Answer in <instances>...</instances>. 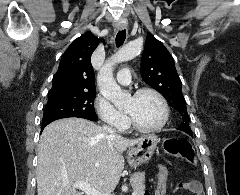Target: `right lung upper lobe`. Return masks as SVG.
I'll list each match as a JSON object with an SVG mask.
<instances>
[{"mask_svg":"<svg viewBox=\"0 0 240 195\" xmlns=\"http://www.w3.org/2000/svg\"><path fill=\"white\" fill-rule=\"evenodd\" d=\"M100 40L91 32L76 38L61 57L49 95L68 92H95L91 55Z\"/></svg>","mask_w":240,"mask_h":195,"instance_id":"cb5924a9","label":"right lung upper lobe"}]
</instances>
